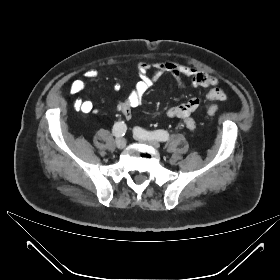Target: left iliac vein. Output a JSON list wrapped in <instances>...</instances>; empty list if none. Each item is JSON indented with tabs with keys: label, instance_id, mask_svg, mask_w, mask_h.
Wrapping results in <instances>:
<instances>
[{
	"label": "left iliac vein",
	"instance_id": "obj_1",
	"mask_svg": "<svg viewBox=\"0 0 280 280\" xmlns=\"http://www.w3.org/2000/svg\"><path fill=\"white\" fill-rule=\"evenodd\" d=\"M135 138L138 141L146 143V144H148V145H150V146H152V147H154L156 149L160 147V143L156 139L141 137L136 132H135Z\"/></svg>",
	"mask_w": 280,
	"mask_h": 280
}]
</instances>
